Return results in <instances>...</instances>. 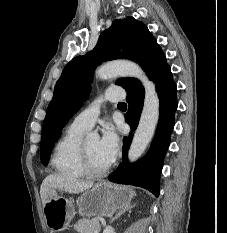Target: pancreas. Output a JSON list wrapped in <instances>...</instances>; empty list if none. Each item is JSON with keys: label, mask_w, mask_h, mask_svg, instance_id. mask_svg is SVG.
Here are the masks:
<instances>
[{"label": "pancreas", "mask_w": 227, "mask_h": 233, "mask_svg": "<svg viewBox=\"0 0 227 233\" xmlns=\"http://www.w3.org/2000/svg\"><path fill=\"white\" fill-rule=\"evenodd\" d=\"M74 229L78 233H98L101 225L97 219L82 218L75 224Z\"/></svg>", "instance_id": "pancreas-1"}]
</instances>
